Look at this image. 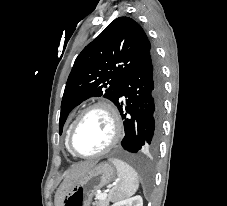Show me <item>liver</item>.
<instances>
[{"mask_svg":"<svg viewBox=\"0 0 227 206\" xmlns=\"http://www.w3.org/2000/svg\"><path fill=\"white\" fill-rule=\"evenodd\" d=\"M95 166L94 162L83 163L73 168L65 177L55 195L56 206H62L66 196L70 193L77 181Z\"/></svg>","mask_w":227,"mask_h":206,"instance_id":"liver-1","label":"liver"}]
</instances>
